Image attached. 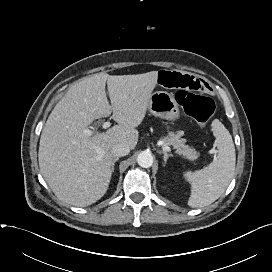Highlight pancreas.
I'll return each instance as SVG.
<instances>
[{
  "mask_svg": "<svg viewBox=\"0 0 272 272\" xmlns=\"http://www.w3.org/2000/svg\"><path fill=\"white\" fill-rule=\"evenodd\" d=\"M182 135V132H178L176 134L170 133L169 137L164 139V145L172 146L174 149H176V153L191 161L198 159L200 153L195 151L194 148L185 145L186 140L181 138Z\"/></svg>",
  "mask_w": 272,
  "mask_h": 272,
  "instance_id": "pancreas-1",
  "label": "pancreas"
}]
</instances>
